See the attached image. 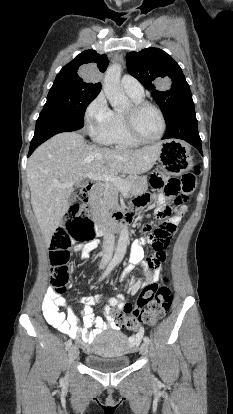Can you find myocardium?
<instances>
[{
	"label": "myocardium",
	"mask_w": 233,
	"mask_h": 414,
	"mask_svg": "<svg viewBox=\"0 0 233 414\" xmlns=\"http://www.w3.org/2000/svg\"><path fill=\"white\" fill-rule=\"evenodd\" d=\"M147 108H152L156 110L161 118V123H162L161 131L159 135L153 139L144 138L138 132L136 124H135L136 115L142 110L147 109ZM123 121H124L125 129L128 132V134L137 142L144 143V144H150V143H155L159 141L164 136L166 128H167L166 117L162 109L156 104L148 102V101L134 102L131 105V110L129 112L123 113Z\"/></svg>",
	"instance_id": "1"
}]
</instances>
